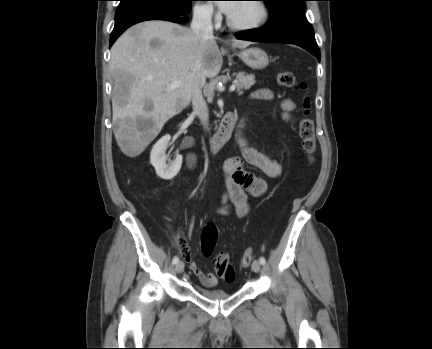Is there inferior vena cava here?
<instances>
[{"label":"inferior vena cava","mask_w":432,"mask_h":349,"mask_svg":"<svg viewBox=\"0 0 432 349\" xmlns=\"http://www.w3.org/2000/svg\"><path fill=\"white\" fill-rule=\"evenodd\" d=\"M190 28L198 38H213L212 10L208 8L194 10ZM201 88V84H195L192 95V106L194 113L199 117L201 123L206 126L208 124L209 114L207 104L202 96Z\"/></svg>","instance_id":"obj_1"}]
</instances>
